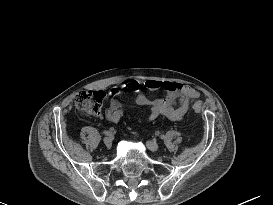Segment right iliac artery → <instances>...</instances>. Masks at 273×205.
Here are the masks:
<instances>
[{
	"label": "right iliac artery",
	"instance_id": "1",
	"mask_svg": "<svg viewBox=\"0 0 273 205\" xmlns=\"http://www.w3.org/2000/svg\"><path fill=\"white\" fill-rule=\"evenodd\" d=\"M105 135H107V136H111L113 133L112 132H110V131H104L103 132Z\"/></svg>",
	"mask_w": 273,
	"mask_h": 205
}]
</instances>
